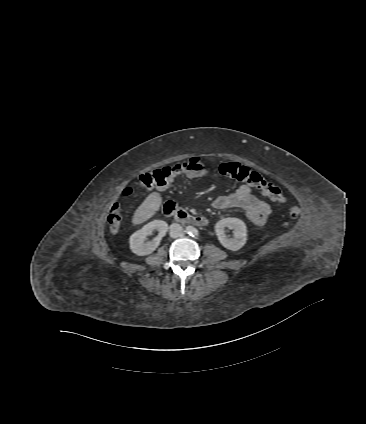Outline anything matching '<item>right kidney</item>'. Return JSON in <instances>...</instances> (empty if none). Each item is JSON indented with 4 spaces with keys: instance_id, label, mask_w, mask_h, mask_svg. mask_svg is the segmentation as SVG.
<instances>
[{
    "instance_id": "1",
    "label": "right kidney",
    "mask_w": 366,
    "mask_h": 424,
    "mask_svg": "<svg viewBox=\"0 0 366 424\" xmlns=\"http://www.w3.org/2000/svg\"><path fill=\"white\" fill-rule=\"evenodd\" d=\"M158 231V236L152 241L145 242L148 235ZM168 230V224L163 220H154L130 236V249L138 256L151 254L159 246L161 239Z\"/></svg>"
}]
</instances>
